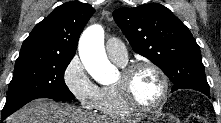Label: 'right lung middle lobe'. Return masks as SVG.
<instances>
[{"mask_svg": "<svg viewBox=\"0 0 221 123\" xmlns=\"http://www.w3.org/2000/svg\"><path fill=\"white\" fill-rule=\"evenodd\" d=\"M74 55L20 53L9 84L2 117L9 116L37 98L73 100L64 72Z\"/></svg>", "mask_w": 221, "mask_h": 123, "instance_id": "1", "label": "right lung middle lobe"}]
</instances>
